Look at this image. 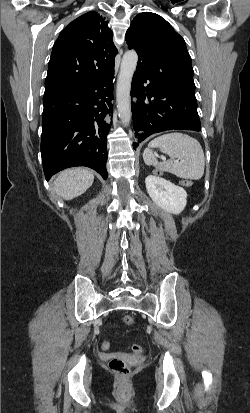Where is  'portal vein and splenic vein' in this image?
Returning <instances> with one entry per match:
<instances>
[{"label":"portal vein and splenic vein","instance_id":"obj_1","mask_svg":"<svg viewBox=\"0 0 250 413\" xmlns=\"http://www.w3.org/2000/svg\"><path fill=\"white\" fill-rule=\"evenodd\" d=\"M162 159H163V160H166V158H165V157H163Z\"/></svg>","mask_w":250,"mask_h":413}]
</instances>
